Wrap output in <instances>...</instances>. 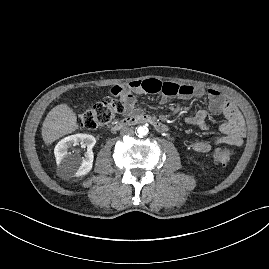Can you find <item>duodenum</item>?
<instances>
[{"mask_svg": "<svg viewBox=\"0 0 269 269\" xmlns=\"http://www.w3.org/2000/svg\"><path fill=\"white\" fill-rule=\"evenodd\" d=\"M136 124H150L159 132H166L167 126L158 119L145 114H135L117 121L113 125V130L118 131L124 127Z\"/></svg>", "mask_w": 269, "mask_h": 269, "instance_id": "1", "label": "duodenum"}]
</instances>
